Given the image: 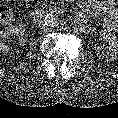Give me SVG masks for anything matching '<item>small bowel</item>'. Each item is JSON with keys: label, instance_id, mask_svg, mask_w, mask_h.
I'll list each match as a JSON object with an SVG mask.
<instances>
[{"label": "small bowel", "instance_id": "obj_1", "mask_svg": "<svg viewBox=\"0 0 118 118\" xmlns=\"http://www.w3.org/2000/svg\"><path fill=\"white\" fill-rule=\"evenodd\" d=\"M104 4L105 2L100 0H94L93 2V6H95V8H98V6H107L103 10L107 14L109 21L112 22V29L118 33V10L112 7V5Z\"/></svg>", "mask_w": 118, "mask_h": 118}]
</instances>
